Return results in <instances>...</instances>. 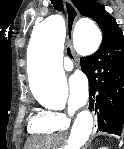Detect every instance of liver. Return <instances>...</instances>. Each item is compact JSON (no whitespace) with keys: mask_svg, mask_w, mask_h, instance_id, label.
Instances as JSON below:
<instances>
[{"mask_svg":"<svg viewBox=\"0 0 124 149\" xmlns=\"http://www.w3.org/2000/svg\"><path fill=\"white\" fill-rule=\"evenodd\" d=\"M51 143L50 137H33L27 141L25 149H50Z\"/></svg>","mask_w":124,"mask_h":149,"instance_id":"liver-1","label":"liver"}]
</instances>
